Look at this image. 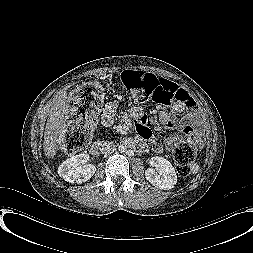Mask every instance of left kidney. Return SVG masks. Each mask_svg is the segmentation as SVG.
Wrapping results in <instances>:
<instances>
[{
  "label": "left kidney",
  "instance_id": "1",
  "mask_svg": "<svg viewBox=\"0 0 253 253\" xmlns=\"http://www.w3.org/2000/svg\"><path fill=\"white\" fill-rule=\"evenodd\" d=\"M149 163L150 168L145 171L146 179L159 189H172L177 183V175L172 164L159 156L152 157Z\"/></svg>",
  "mask_w": 253,
  "mask_h": 253
}]
</instances>
